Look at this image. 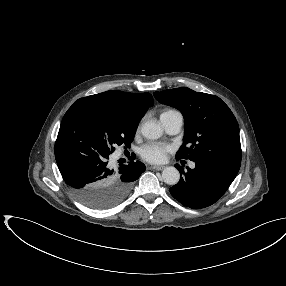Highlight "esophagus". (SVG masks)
Instances as JSON below:
<instances>
[{
	"label": "esophagus",
	"instance_id": "34e87169",
	"mask_svg": "<svg viewBox=\"0 0 286 286\" xmlns=\"http://www.w3.org/2000/svg\"><path fill=\"white\" fill-rule=\"evenodd\" d=\"M165 168V166H150L149 169L150 170H157V171H160V170H163Z\"/></svg>",
	"mask_w": 286,
	"mask_h": 286
}]
</instances>
